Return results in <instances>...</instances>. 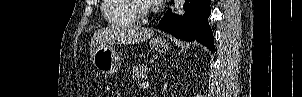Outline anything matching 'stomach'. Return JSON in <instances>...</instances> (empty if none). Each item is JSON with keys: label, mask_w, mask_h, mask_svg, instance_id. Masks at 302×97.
<instances>
[{"label": "stomach", "mask_w": 302, "mask_h": 97, "mask_svg": "<svg viewBox=\"0 0 302 97\" xmlns=\"http://www.w3.org/2000/svg\"><path fill=\"white\" fill-rule=\"evenodd\" d=\"M151 44L160 53L169 49V43L165 38H153ZM91 59L94 67L99 72L106 74L116 73L121 65L120 58L111 44H102L96 47Z\"/></svg>", "instance_id": "1"}]
</instances>
